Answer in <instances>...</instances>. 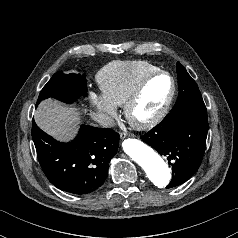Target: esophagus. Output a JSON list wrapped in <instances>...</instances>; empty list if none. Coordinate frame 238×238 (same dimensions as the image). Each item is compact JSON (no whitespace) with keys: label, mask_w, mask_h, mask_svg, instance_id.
Returning a JSON list of instances; mask_svg holds the SVG:
<instances>
[{"label":"esophagus","mask_w":238,"mask_h":238,"mask_svg":"<svg viewBox=\"0 0 238 238\" xmlns=\"http://www.w3.org/2000/svg\"><path fill=\"white\" fill-rule=\"evenodd\" d=\"M128 136V134L127 133H120V138L121 139H124V138H126Z\"/></svg>","instance_id":"34e87169"}]
</instances>
